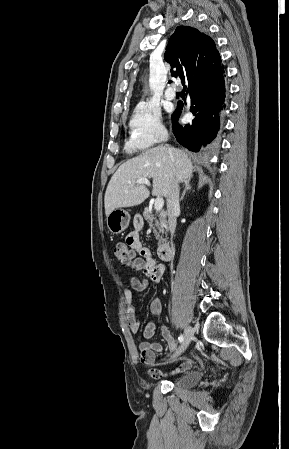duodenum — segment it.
<instances>
[{"label":"duodenum","mask_w":289,"mask_h":449,"mask_svg":"<svg viewBox=\"0 0 289 449\" xmlns=\"http://www.w3.org/2000/svg\"><path fill=\"white\" fill-rule=\"evenodd\" d=\"M158 256L163 261H168L171 258V247L169 244H161L158 247Z\"/></svg>","instance_id":"410a0bca"}]
</instances>
